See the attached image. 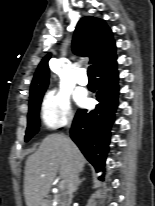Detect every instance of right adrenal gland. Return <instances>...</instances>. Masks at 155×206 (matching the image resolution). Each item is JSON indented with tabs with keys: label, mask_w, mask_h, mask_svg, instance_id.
I'll list each match as a JSON object with an SVG mask.
<instances>
[{
	"label": "right adrenal gland",
	"mask_w": 155,
	"mask_h": 206,
	"mask_svg": "<svg viewBox=\"0 0 155 206\" xmlns=\"http://www.w3.org/2000/svg\"><path fill=\"white\" fill-rule=\"evenodd\" d=\"M83 181H85V178L80 179V173H77L74 191H77L79 185H81Z\"/></svg>",
	"instance_id": "right-adrenal-gland-1"
}]
</instances>
